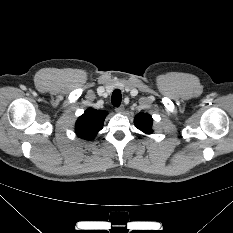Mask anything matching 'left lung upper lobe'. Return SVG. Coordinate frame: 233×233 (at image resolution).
I'll return each mask as SVG.
<instances>
[{"mask_svg": "<svg viewBox=\"0 0 233 233\" xmlns=\"http://www.w3.org/2000/svg\"><path fill=\"white\" fill-rule=\"evenodd\" d=\"M135 126L146 134L152 133V117L146 113L136 115L134 119Z\"/></svg>", "mask_w": 233, "mask_h": 233, "instance_id": "1", "label": "left lung upper lobe"}]
</instances>
